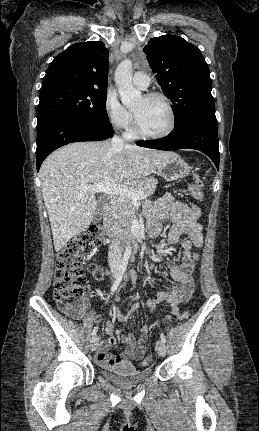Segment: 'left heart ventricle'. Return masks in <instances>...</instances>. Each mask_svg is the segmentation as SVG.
<instances>
[{"label":"left heart ventricle","mask_w":259,"mask_h":431,"mask_svg":"<svg viewBox=\"0 0 259 431\" xmlns=\"http://www.w3.org/2000/svg\"><path fill=\"white\" fill-rule=\"evenodd\" d=\"M140 127L147 133L157 134L164 131L169 124V113L160 99L142 97L132 109Z\"/></svg>","instance_id":"1"}]
</instances>
